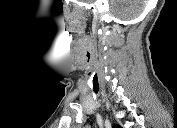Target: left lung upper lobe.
I'll return each instance as SVG.
<instances>
[{"mask_svg":"<svg viewBox=\"0 0 177 128\" xmlns=\"http://www.w3.org/2000/svg\"><path fill=\"white\" fill-rule=\"evenodd\" d=\"M113 128H120V126H118V125H115V126H113Z\"/></svg>","mask_w":177,"mask_h":128,"instance_id":"left-lung-upper-lobe-1","label":"left lung upper lobe"}]
</instances>
